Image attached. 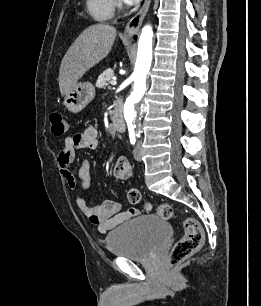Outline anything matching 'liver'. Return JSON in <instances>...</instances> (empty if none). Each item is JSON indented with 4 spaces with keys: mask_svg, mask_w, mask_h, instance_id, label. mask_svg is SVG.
Listing matches in <instances>:
<instances>
[{
    "mask_svg": "<svg viewBox=\"0 0 261 306\" xmlns=\"http://www.w3.org/2000/svg\"><path fill=\"white\" fill-rule=\"evenodd\" d=\"M116 29L107 24L86 28L70 46L59 69V88L64 96L83 75L111 51Z\"/></svg>",
    "mask_w": 261,
    "mask_h": 306,
    "instance_id": "6515ba94",
    "label": "liver"
}]
</instances>
